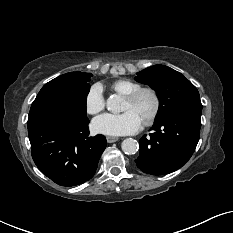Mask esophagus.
I'll return each mask as SVG.
<instances>
[{"mask_svg": "<svg viewBox=\"0 0 233 233\" xmlns=\"http://www.w3.org/2000/svg\"><path fill=\"white\" fill-rule=\"evenodd\" d=\"M106 139H107L108 143H114V142L118 141L119 138L113 137V136H107Z\"/></svg>", "mask_w": 233, "mask_h": 233, "instance_id": "34e87169", "label": "esophagus"}]
</instances>
